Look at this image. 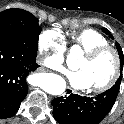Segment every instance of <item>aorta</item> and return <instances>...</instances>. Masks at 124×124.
Here are the masks:
<instances>
[{
	"instance_id": "aorta-1",
	"label": "aorta",
	"mask_w": 124,
	"mask_h": 124,
	"mask_svg": "<svg viewBox=\"0 0 124 124\" xmlns=\"http://www.w3.org/2000/svg\"><path fill=\"white\" fill-rule=\"evenodd\" d=\"M42 88L51 95H60L66 89V82L61 76L53 74L44 82Z\"/></svg>"
}]
</instances>
